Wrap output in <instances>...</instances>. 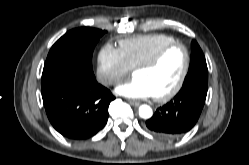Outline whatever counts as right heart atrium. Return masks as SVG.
<instances>
[{"instance_id": "1", "label": "right heart atrium", "mask_w": 249, "mask_h": 165, "mask_svg": "<svg viewBox=\"0 0 249 165\" xmlns=\"http://www.w3.org/2000/svg\"><path fill=\"white\" fill-rule=\"evenodd\" d=\"M127 65L120 49L111 44L104 45L97 57V77L101 83L113 86L119 83L128 73Z\"/></svg>"}]
</instances>
